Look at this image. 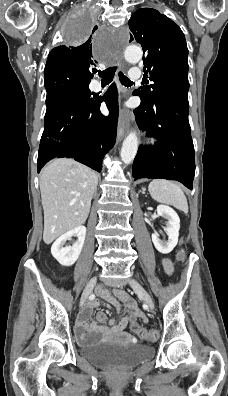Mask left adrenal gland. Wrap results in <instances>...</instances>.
Masks as SVG:
<instances>
[{
  "instance_id": "1",
  "label": "left adrenal gland",
  "mask_w": 228,
  "mask_h": 396,
  "mask_svg": "<svg viewBox=\"0 0 228 396\" xmlns=\"http://www.w3.org/2000/svg\"><path fill=\"white\" fill-rule=\"evenodd\" d=\"M145 190H146V189H145V188H143V189H142V192L144 193V192H145Z\"/></svg>"
}]
</instances>
